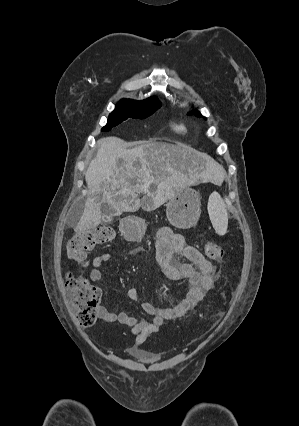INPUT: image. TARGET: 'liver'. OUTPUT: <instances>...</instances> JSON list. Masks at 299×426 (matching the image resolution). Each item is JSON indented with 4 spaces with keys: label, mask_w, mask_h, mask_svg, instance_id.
<instances>
[{
    "label": "liver",
    "mask_w": 299,
    "mask_h": 426,
    "mask_svg": "<svg viewBox=\"0 0 299 426\" xmlns=\"http://www.w3.org/2000/svg\"><path fill=\"white\" fill-rule=\"evenodd\" d=\"M197 154L182 143L150 142L127 149L117 137L102 139L85 171L88 196L76 229L96 228L102 204L110 205L116 215L140 207L146 211L159 208L187 180L184 172L195 165ZM203 158L205 175L221 181L223 167L206 155ZM141 193L145 195L139 199Z\"/></svg>",
    "instance_id": "liver-1"
}]
</instances>
